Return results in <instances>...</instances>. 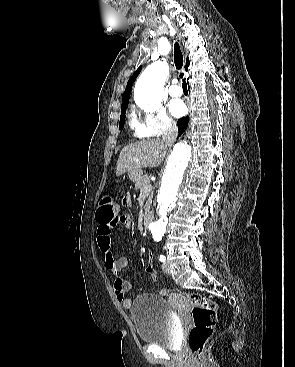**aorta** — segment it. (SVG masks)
Masks as SVG:
<instances>
[{
  "instance_id": "aorta-1",
  "label": "aorta",
  "mask_w": 295,
  "mask_h": 367,
  "mask_svg": "<svg viewBox=\"0 0 295 367\" xmlns=\"http://www.w3.org/2000/svg\"><path fill=\"white\" fill-rule=\"evenodd\" d=\"M167 74L168 67L162 61L152 63L143 71L134 90V99L140 108L148 112L159 109ZM191 156V146L187 142H179L168 158L158 190L159 219L149 226L155 241L161 240L166 231L168 214L187 179Z\"/></svg>"
}]
</instances>
